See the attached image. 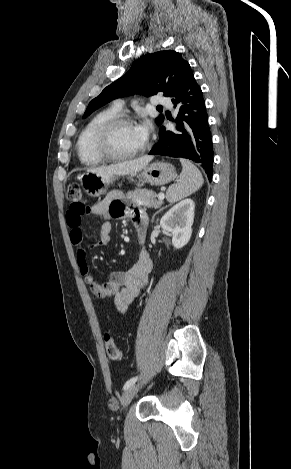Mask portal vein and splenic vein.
<instances>
[{"label": "portal vein and splenic vein", "instance_id": "18ae733b", "mask_svg": "<svg viewBox=\"0 0 291 469\" xmlns=\"http://www.w3.org/2000/svg\"><path fill=\"white\" fill-rule=\"evenodd\" d=\"M164 198H165L164 193H159L158 200H164Z\"/></svg>", "mask_w": 291, "mask_h": 469}]
</instances>
